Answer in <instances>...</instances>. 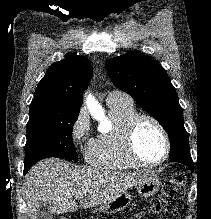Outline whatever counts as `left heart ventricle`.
Listing matches in <instances>:
<instances>
[{
  "instance_id": "1",
  "label": "left heart ventricle",
  "mask_w": 211,
  "mask_h": 219,
  "mask_svg": "<svg viewBox=\"0 0 211 219\" xmlns=\"http://www.w3.org/2000/svg\"><path fill=\"white\" fill-rule=\"evenodd\" d=\"M139 157L148 163L159 161L165 149L164 139L159 129L150 121L140 122L135 136Z\"/></svg>"
}]
</instances>
